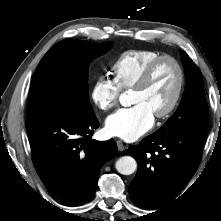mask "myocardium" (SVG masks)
I'll return each mask as SVG.
<instances>
[{
	"label": "myocardium",
	"instance_id": "f54148a6",
	"mask_svg": "<svg viewBox=\"0 0 221 221\" xmlns=\"http://www.w3.org/2000/svg\"><path fill=\"white\" fill-rule=\"evenodd\" d=\"M164 62H170L175 66L177 73H178V82H177V86H176L173 98L171 102L169 103V105L163 111L155 114V117L157 119H165L169 117L177 108L180 102V99L182 97V93L184 90V85H185V73H184V69L181 63L172 56H169V55L160 56L156 58L155 60H153L152 62H150L145 67V69L142 71L138 79L135 81V83L131 87L132 90H139V89L144 88L149 82L155 69Z\"/></svg>",
	"mask_w": 221,
	"mask_h": 221
}]
</instances>
